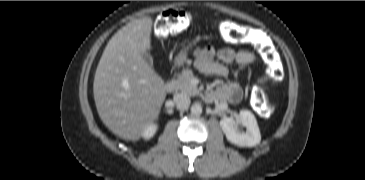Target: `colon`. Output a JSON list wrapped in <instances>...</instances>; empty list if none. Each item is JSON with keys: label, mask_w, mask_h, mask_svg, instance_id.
Returning <instances> with one entry per match:
<instances>
[{"label": "colon", "mask_w": 365, "mask_h": 180, "mask_svg": "<svg viewBox=\"0 0 365 180\" xmlns=\"http://www.w3.org/2000/svg\"><path fill=\"white\" fill-rule=\"evenodd\" d=\"M192 14L182 9H168L163 11L156 20L153 33L157 38L166 39L184 33L192 24ZM223 39L232 45H244L255 36L253 30L248 27H234L227 24ZM261 53L267 58L271 71L262 79L261 89L257 93L258 102L266 104V89L282 79V70L278 60L275 59L272 51L264 48Z\"/></svg>", "instance_id": "colon-1"}]
</instances>
